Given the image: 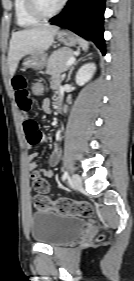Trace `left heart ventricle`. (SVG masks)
I'll return each instance as SVG.
<instances>
[{"label":"left heart ventricle","instance_id":"1","mask_svg":"<svg viewBox=\"0 0 134 281\" xmlns=\"http://www.w3.org/2000/svg\"><path fill=\"white\" fill-rule=\"evenodd\" d=\"M61 0H39V4L45 11L54 10Z\"/></svg>","mask_w":134,"mask_h":281}]
</instances>
